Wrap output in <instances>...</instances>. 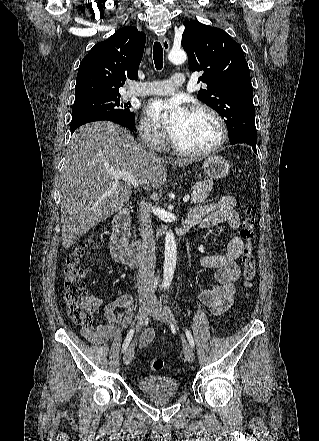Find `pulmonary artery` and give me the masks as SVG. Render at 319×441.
<instances>
[{
    "instance_id": "pulmonary-artery-1",
    "label": "pulmonary artery",
    "mask_w": 319,
    "mask_h": 441,
    "mask_svg": "<svg viewBox=\"0 0 319 441\" xmlns=\"http://www.w3.org/2000/svg\"><path fill=\"white\" fill-rule=\"evenodd\" d=\"M186 82V78L182 73L174 74L169 80L151 81L140 84L132 88L128 95H162L174 92L178 87H181Z\"/></svg>"
}]
</instances>
